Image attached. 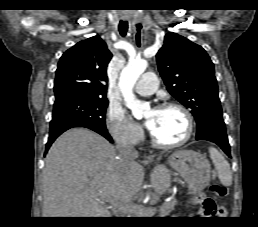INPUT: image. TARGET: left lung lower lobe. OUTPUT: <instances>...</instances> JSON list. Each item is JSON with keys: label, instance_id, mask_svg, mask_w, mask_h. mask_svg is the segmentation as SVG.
Returning a JSON list of instances; mask_svg holds the SVG:
<instances>
[{"label": "left lung lower lobe", "instance_id": "0a47b994", "mask_svg": "<svg viewBox=\"0 0 258 227\" xmlns=\"http://www.w3.org/2000/svg\"><path fill=\"white\" fill-rule=\"evenodd\" d=\"M197 140H207L216 143L221 149L230 157V145L228 143V138L226 131L223 130H210L205 134L196 137Z\"/></svg>", "mask_w": 258, "mask_h": 227}]
</instances>
